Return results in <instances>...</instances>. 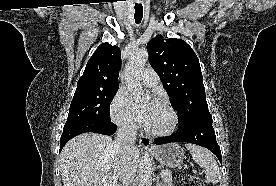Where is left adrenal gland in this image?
I'll return each instance as SVG.
<instances>
[{
    "mask_svg": "<svg viewBox=\"0 0 276 186\" xmlns=\"http://www.w3.org/2000/svg\"><path fill=\"white\" fill-rule=\"evenodd\" d=\"M156 185L157 186H163V183L160 181V177L159 176L156 179Z\"/></svg>",
    "mask_w": 276,
    "mask_h": 186,
    "instance_id": "obj_1",
    "label": "left adrenal gland"
}]
</instances>
